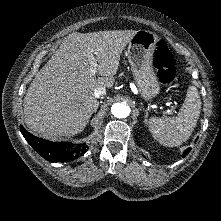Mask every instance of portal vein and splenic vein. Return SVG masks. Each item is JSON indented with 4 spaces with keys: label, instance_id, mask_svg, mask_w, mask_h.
<instances>
[{
    "label": "portal vein and splenic vein",
    "instance_id": "portal-vein-and-splenic-vein-1",
    "mask_svg": "<svg viewBox=\"0 0 221 221\" xmlns=\"http://www.w3.org/2000/svg\"><path fill=\"white\" fill-rule=\"evenodd\" d=\"M88 58H89V61H90V73L91 75H95L97 73V61L93 55V50H90L89 53H88Z\"/></svg>",
    "mask_w": 221,
    "mask_h": 221
}]
</instances>
